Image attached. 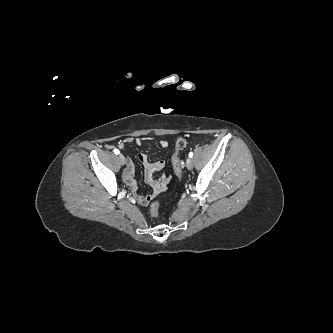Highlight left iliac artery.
Returning <instances> with one entry per match:
<instances>
[{
	"label": "left iliac artery",
	"mask_w": 333,
	"mask_h": 333,
	"mask_svg": "<svg viewBox=\"0 0 333 333\" xmlns=\"http://www.w3.org/2000/svg\"><path fill=\"white\" fill-rule=\"evenodd\" d=\"M189 157L192 158L193 157V152L189 153Z\"/></svg>",
	"instance_id": "obj_1"
}]
</instances>
